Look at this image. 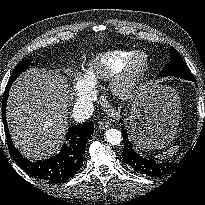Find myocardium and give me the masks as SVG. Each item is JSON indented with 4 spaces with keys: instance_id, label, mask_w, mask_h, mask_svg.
<instances>
[{
    "instance_id": "obj_1",
    "label": "myocardium",
    "mask_w": 205,
    "mask_h": 205,
    "mask_svg": "<svg viewBox=\"0 0 205 205\" xmlns=\"http://www.w3.org/2000/svg\"><path fill=\"white\" fill-rule=\"evenodd\" d=\"M148 67V58L143 52H135L111 77L108 87L113 96L129 100L137 92Z\"/></svg>"
}]
</instances>
